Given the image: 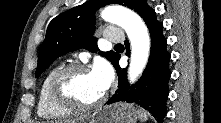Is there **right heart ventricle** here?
I'll return each instance as SVG.
<instances>
[{
    "mask_svg": "<svg viewBox=\"0 0 221 123\" xmlns=\"http://www.w3.org/2000/svg\"><path fill=\"white\" fill-rule=\"evenodd\" d=\"M61 66H55L45 75L38 96L37 113L44 119H63L71 115L72 111L58 106L50 95V82L54 73Z\"/></svg>",
    "mask_w": 221,
    "mask_h": 123,
    "instance_id": "1",
    "label": "right heart ventricle"
}]
</instances>
